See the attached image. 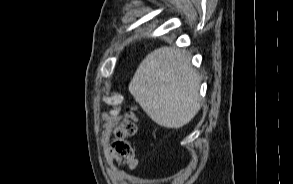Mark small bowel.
Masks as SVG:
<instances>
[{
    "mask_svg": "<svg viewBox=\"0 0 293 184\" xmlns=\"http://www.w3.org/2000/svg\"><path fill=\"white\" fill-rule=\"evenodd\" d=\"M127 164L131 169H135L137 167V160L134 163ZM106 165L114 181H116L119 184H122L123 182L127 181V171L120 167V165L115 162V159L112 156H107Z\"/></svg>",
    "mask_w": 293,
    "mask_h": 184,
    "instance_id": "1",
    "label": "small bowel"
}]
</instances>
